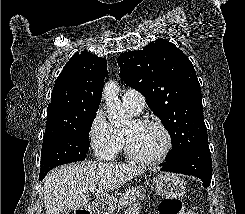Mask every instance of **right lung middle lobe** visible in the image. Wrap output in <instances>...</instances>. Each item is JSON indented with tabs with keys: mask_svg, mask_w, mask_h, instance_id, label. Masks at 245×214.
Returning <instances> with one entry per match:
<instances>
[{
	"mask_svg": "<svg viewBox=\"0 0 245 214\" xmlns=\"http://www.w3.org/2000/svg\"><path fill=\"white\" fill-rule=\"evenodd\" d=\"M97 111L85 114L73 127L44 135L40 175L56 166L84 160L89 150V131Z\"/></svg>",
	"mask_w": 245,
	"mask_h": 214,
	"instance_id": "right-lung-middle-lobe-1",
	"label": "right lung middle lobe"
}]
</instances>
